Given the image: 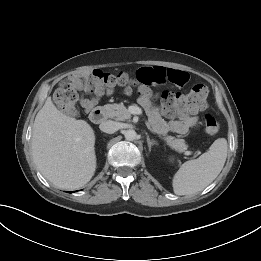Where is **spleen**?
<instances>
[{
	"label": "spleen",
	"mask_w": 261,
	"mask_h": 261,
	"mask_svg": "<svg viewBox=\"0 0 261 261\" xmlns=\"http://www.w3.org/2000/svg\"><path fill=\"white\" fill-rule=\"evenodd\" d=\"M227 152V140L218 138L199 158L183 163L172 180L174 193L192 195L206 188L222 171Z\"/></svg>",
	"instance_id": "obj_1"
}]
</instances>
